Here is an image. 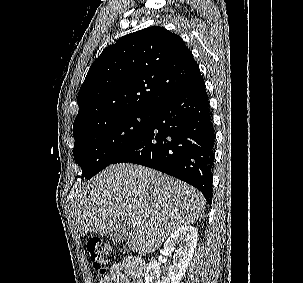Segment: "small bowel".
<instances>
[{
  "label": "small bowel",
  "mask_w": 303,
  "mask_h": 283,
  "mask_svg": "<svg viewBox=\"0 0 303 283\" xmlns=\"http://www.w3.org/2000/svg\"><path fill=\"white\" fill-rule=\"evenodd\" d=\"M143 269L137 266V260L126 257L122 262L109 267V273L98 283H143Z\"/></svg>",
  "instance_id": "c3829d8e"
}]
</instances>
